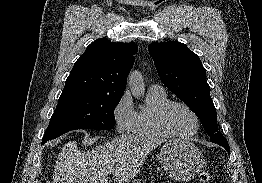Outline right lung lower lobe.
<instances>
[{
    "instance_id": "98d812e1",
    "label": "right lung lower lobe",
    "mask_w": 262,
    "mask_h": 183,
    "mask_svg": "<svg viewBox=\"0 0 262 183\" xmlns=\"http://www.w3.org/2000/svg\"><path fill=\"white\" fill-rule=\"evenodd\" d=\"M46 142V140H42V144H44Z\"/></svg>"
}]
</instances>
